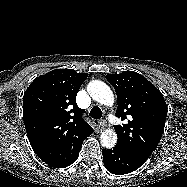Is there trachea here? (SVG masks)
Returning a JSON list of instances; mask_svg holds the SVG:
<instances>
[{"instance_id":"1","label":"trachea","mask_w":187,"mask_h":187,"mask_svg":"<svg viewBox=\"0 0 187 187\" xmlns=\"http://www.w3.org/2000/svg\"><path fill=\"white\" fill-rule=\"evenodd\" d=\"M89 116L94 118V119H100L102 117V111L98 106H94L90 113Z\"/></svg>"}]
</instances>
